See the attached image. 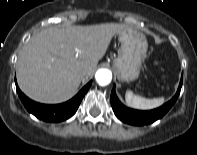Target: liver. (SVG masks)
I'll use <instances>...</instances> for the list:
<instances>
[{
  "label": "liver",
  "instance_id": "6515ba94",
  "mask_svg": "<svg viewBox=\"0 0 197 155\" xmlns=\"http://www.w3.org/2000/svg\"><path fill=\"white\" fill-rule=\"evenodd\" d=\"M124 24L107 23L41 30L23 47L17 62L20 89L31 99L47 104L70 99L86 70L90 77L112 37Z\"/></svg>",
  "mask_w": 197,
  "mask_h": 155
}]
</instances>
